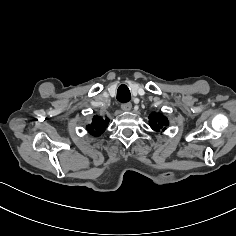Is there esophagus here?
I'll return each instance as SVG.
<instances>
[{
	"mask_svg": "<svg viewBox=\"0 0 236 236\" xmlns=\"http://www.w3.org/2000/svg\"><path fill=\"white\" fill-rule=\"evenodd\" d=\"M121 108H122V110L123 111H130L131 110V108H132V104L131 103H123L122 105H121Z\"/></svg>",
	"mask_w": 236,
	"mask_h": 236,
	"instance_id": "obj_1",
	"label": "esophagus"
}]
</instances>
